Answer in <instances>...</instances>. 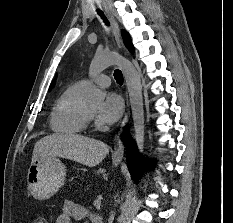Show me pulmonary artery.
<instances>
[{
    "mask_svg": "<svg viewBox=\"0 0 233 223\" xmlns=\"http://www.w3.org/2000/svg\"><path fill=\"white\" fill-rule=\"evenodd\" d=\"M96 81L103 87H107L110 84V78L106 75L99 76ZM81 83L86 87L89 85L90 81L87 79H84L81 81Z\"/></svg>",
    "mask_w": 233,
    "mask_h": 223,
    "instance_id": "obj_1",
    "label": "pulmonary artery"
}]
</instances>
